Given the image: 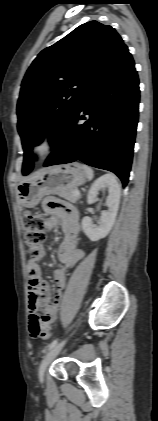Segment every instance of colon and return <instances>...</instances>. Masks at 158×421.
<instances>
[{
	"label": "colon",
	"instance_id": "obj_1",
	"mask_svg": "<svg viewBox=\"0 0 158 421\" xmlns=\"http://www.w3.org/2000/svg\"><path fill=\"white\" fill-rule=\"evenodd\" d=\"M24 239L31 257L35 256L38 248L45 241L46 220L41 213L25 211L22 219ZM51 334L49 326H42L34 331V336L49 338Z\"/></svg>",
	"mask_w": 158,
	"mask_h": 421
}]
</instances>
